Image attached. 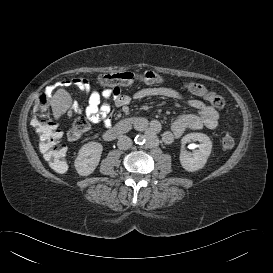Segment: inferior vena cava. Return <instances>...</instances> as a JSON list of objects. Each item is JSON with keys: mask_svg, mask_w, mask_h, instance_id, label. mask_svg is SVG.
Instances as JSON below:
<instances>
[{"mask_svg": "<svg viewBox=\"0 0 273 273\" xmlns=\"http://www.w3.org/2000/svg\"><path fill=\"white\" fill-rule=\"evenodd\" d=\"M117 146L121 150H127L132 146V140L125 135H121L118 138Z\"/></svg>", "mask_w": 273, "mask_h": 273, "instance_id": "602c4592", "label": "inferior vena cava"}]
</instances>
